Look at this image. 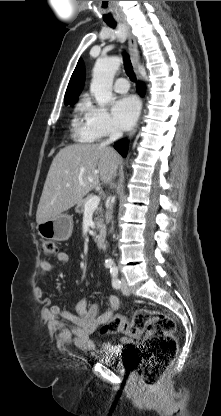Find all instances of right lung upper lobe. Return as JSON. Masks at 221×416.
I'll return each instance as SVG.
<instances>
[{
	"instance_id": "1",
	"label": "right lung upper lobe",
	"mask_w": 221,
	"mask_h": 416,
	"mask_svg": "<svg viewBox=\"0 0 221 416\" xmlns=\"http://www.w3.org/2000/svg\"><path fill=\"white\" fill-rule=\"evenodd\" d=\"M85 71L82 60H79L77 66L71 76L65 93V103L75 102L84 85Z\"/></svg>"
}]
</instances>
